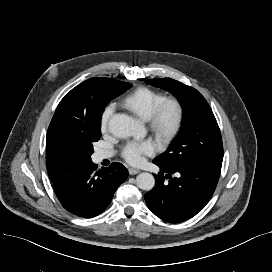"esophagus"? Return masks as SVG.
I'll list each match as a JSON object with an SVG mask.
<instances>
[{"mask_svg":"<svg viewBox=\"0 0 272 272\" xmlns=\"http://www.w3.org/2000/svg\"><path fill=\"white\" fill-rule=\"evenodd\" d=\"M128 171H129L130 175H135V174H138L140 172L139 169H135V168H129Z\"/></svg>","mask_w":272,"mask_h":272,"instance_id":"obj_1","label":"esophagus"}]
</instances>
